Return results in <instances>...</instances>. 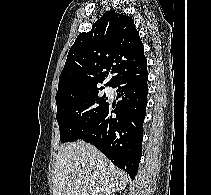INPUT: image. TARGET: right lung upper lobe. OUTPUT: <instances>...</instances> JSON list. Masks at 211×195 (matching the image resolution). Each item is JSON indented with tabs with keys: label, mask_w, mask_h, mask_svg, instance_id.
Segmentation results:
<instances>
[{
	"label": "right lung upper lobe",
	"mask_w": 211,
	"mask_h": 195,
	"mask_svg": "<svg viewBox=\"0 0 211 195\" xmlns=\"http://www.w3.org/2000/svg\"><path fill=\"white\" fill-rule=\"evenodd\" d=\"M146 65L133 19L106 11L91 31L80 33L71 46L59 77L56 104L98 90L109 71L113 76L105 86H112L123 75Z\"/></svg>",
	"instance_id": "cb5924a9"
}]
</instances>
